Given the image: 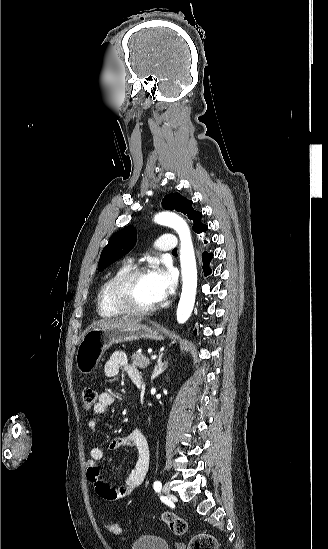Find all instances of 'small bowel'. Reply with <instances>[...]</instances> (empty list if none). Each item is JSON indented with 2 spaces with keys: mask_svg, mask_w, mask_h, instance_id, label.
<instances>
[{
  "mask_svg": "<svg viewBox=\"0 0 328 549\" xmlns=\"http://www.w3.org/2000/svg\"><path fill=\"white\" fill-rule=\"evenodd\" d=\"M122 369L132 381L136 376H139L138 370L129 364L126 353L115 351L104 364V374L106 377L112 378L117 376ZM113 402L114 396L111 393L102 392L93 407V412L97 415L104 414ZM87 426L90 430L97 431L99 423L96 419H91L88 421ZM122 447L134 449L137 452V458L134 467L129 471L120 487L107 484L101 477L98 461L103 457L102 449L93 447L90 450V457L87 461V476L98 496L107 501H116L131 495L142 484L148 472L150 462L149 445L146 437L138 428L133 429L127 436L112 440L109 445L111 451H116Z\"/></svg>",
  "mask_w": 328,
  "mask_h": 549,
  "instance_id": "1",
  "label": "small bowel"
}]
</instances>
